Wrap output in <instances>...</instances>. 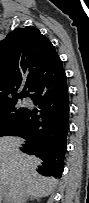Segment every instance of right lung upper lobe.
I'll use <instances>...</instances> for the list:
<instances>
[{"label": "right lung upper lobe", "instance_id": "1", "mask_svg": "<svg viewBox=\"0 0 89 203\" xmlns=\"http://www.w3.org/2000/svg\"><path fill=\"white\" fill-rule=\"evenodd\" d=\"M61 65L54 46L37 28L10 32L0 42V105L27 96L40 77Z\"/></svg>", "mask_w": 89, "mask_h": 203}]
</instances>
